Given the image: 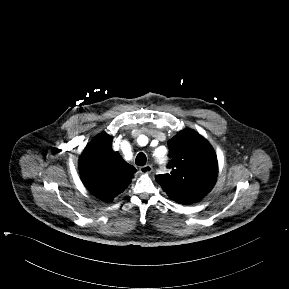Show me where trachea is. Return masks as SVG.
<instances>
[{
  "mask_svg": "<svg viewBox=\"0 0 289 289\" xmlns=\"http://www.w3.org/2000/svg\"><path fill=\"white\" fill-rule=\"evenodd\" d=\"M135 162L138 166H144L146 164V155L142 152H140L136 159Z\"/></svg>",
  "mask_w": 289,
  "mask_h": 289,
  "instance_id": "1",
  "label": "trachea"
}]
</instances>
